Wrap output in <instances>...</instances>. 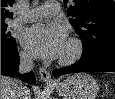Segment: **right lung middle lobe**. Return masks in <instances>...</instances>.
I'll use <instances>...</instances> for the list:
<instances>
[{"mask_svg":"<svg viewBox=\"0 0 115 99\" xmlns=\"http://www.w3.org/2000/svg\"><path fill=\"white\" fill-rule=\"evenodd\" d=\"M7 25L5 23H1V45H9L15 41L14 38L11 37V33H6Z\"/></svg>","mask_w":115,"mask_h":99,"instance_id":"dd1d6c3e","label":"right lung middle lobe"}]
</instances>
